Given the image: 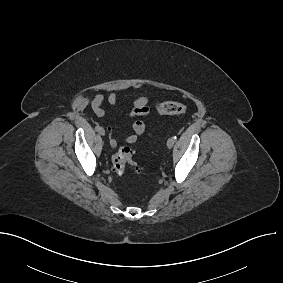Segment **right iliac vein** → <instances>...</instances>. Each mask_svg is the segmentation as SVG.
Segmentation results:
<instances>
[{
  "mask_svg": "<svg viewBox=\"0 0 283 283\" xmlns=\"http://www.w3.org/2000/svg\"><path fill=\"white\" fill-rule=\"evenodd\" d=\"M99 134L102 135V136H104V135H105V130H104L103 128H101V129L99 130Z\"/></svg>",
  "mask_w": 283,
  "mask_h": 283,
  "instance_id": "right-iliac-vein-1",
  "label": "right iliac vein"
}]
</instances>
